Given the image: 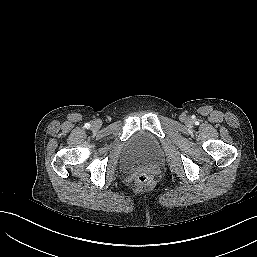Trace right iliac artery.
I'll return each instance as SVG.
<instances>
[{"mask_svg":"<svg viewBox=\"0 0 257 257\" xmlns=\"http://www.w3.org/2000/svg\"><path fill=\"white\" fill-rule=\"evenodd\" d=\"M85 128H87V129L90 128V124H89V123H86V124H85Z\"/></svg>","mask_w":257,"mask_h":257,"instance_id":"1","label":"right iliac artery"}]
</instances>
